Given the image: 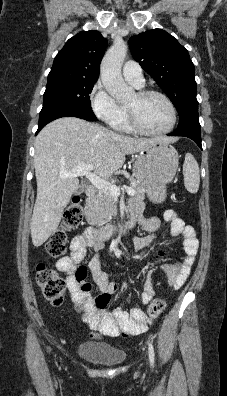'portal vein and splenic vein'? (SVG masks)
<instances>
[{"label":"portal vein and splenic vein","mask_w":227,"mask_h":396,"mask_svg":"<svg viewBox=\"0 0 227 396\" xmlns=\"http://www.w3.org/2000/svg\"><path fill=\"white\" fill-rule=\"evenodd\" d=\"M93 170L92 165H87V164H79L76 166L72 172H61L60 177L61 178H72V177H78V176H86V178L92 183L93 186H95L97 189L100 191L110 194L112 196H119L120 195V187L110 183L107 180H104L103 178L97 176L96 174L92 173L91 171ZM125 191L127 192L128 195H135V190L131 187L124 186L123 187Z\"/></svg>","instance_id":"18ae733b"}]
</instances>
